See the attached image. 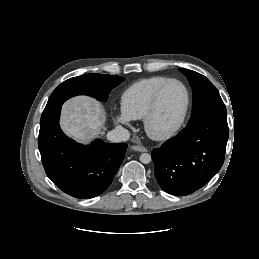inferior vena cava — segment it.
<instances>
[{
  "mask_svg": "<svg viewBox=\"0 0 259 259\" xmlns=\"http://www.w3.org/2000/svg\"><path fill=\"white\" fill-rule=\"evenodd\" d=\"M130 138V133L122 126H116L114 130L108 132L107 139L112 142L127 141Z\"/></svg>",
  "mask_w": 259,
  "mask_h": 259,
  "instance_id": "602c4592",
  "label": "inferior vena cava"
}]
</instances>
